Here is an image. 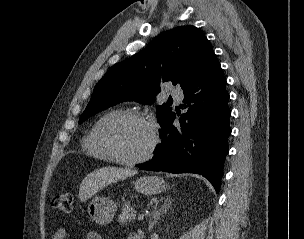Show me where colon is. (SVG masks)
Returning a JSON list of instances; mask_svg holds the SVG:
<instances>
[{
	"label": "colon",
	"mask_w": 304,
	"mask_h": 239,
	"mask_svg": "<svg viewBox=\"0 0 304 239\" xmlns=\"http://www.w3.org/2000/svg\"><path fill=\"white\" fill-rule=\"evenodd\" d=\"M52 206L61 212L69 213L73 207V196L71 193H60L53 197Z\"/></svg>",
	"instance_id": "colon-1"
}]
</instances>
